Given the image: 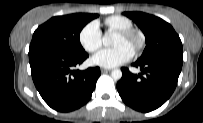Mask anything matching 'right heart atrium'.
<instances>
[{"label":"right heart atrium","mask_w":203,"mask_h":123,"mask_svg":"<svg viewBox=\"0 0 203 123\" xmlns=\"http://www.w3.org/2000/svg\"><path fill=\"white\" fill-rule=\"evenodd\" d=\"M81 46L90 53L96 52L102 46V33L97 21L86 24L79 33Z\"/></svg>","instance_id":"d8ad5b80"}]
</instances>
